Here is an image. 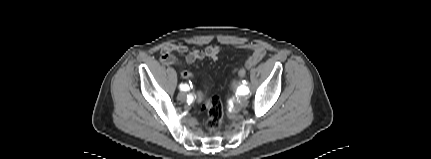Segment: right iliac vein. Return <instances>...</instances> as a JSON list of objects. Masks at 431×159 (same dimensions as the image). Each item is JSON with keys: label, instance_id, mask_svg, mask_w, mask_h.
Listing matches in <instances>:
<instances>
[{"label": "right iliac vein", "instance_id": "1", "mask_svg": "<svg viewBox=\"0 0 431 159\" xmlns=\"http://www.w3.org/2000/svg\"><path fill=\"white\" fill-rule=\"evenodd\" d=\"M179 101L184 102L186 100V94L184 92H180L177 96Z\"/></svg>", "mask_w": 431, "mask_h": 159}]
</instances>
